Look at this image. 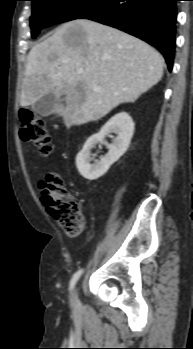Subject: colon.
I'll return each mask as SVG.
<instances>
[{
  "label": "colon",
  "mask_w": 193,
  "mask_h": 349,
  "mask_svg": "<svg viewBox=\"0 0 193 349\" xmlns=\"http://www.w3.org/2000/svg\"><path fill=\"white\" fill-rule=\"evenodd\" d=\"M19 119L21 138L33 142L42 154H49L52 141L42 118L30 110L22 109ZM41 189L42 202L61 229L67 235H79L84 228L81 203L68 194L61 176L54 172L46 174Z\"/></svg>",
  "instance_id": "5ec220e1"
}]
</instances>
